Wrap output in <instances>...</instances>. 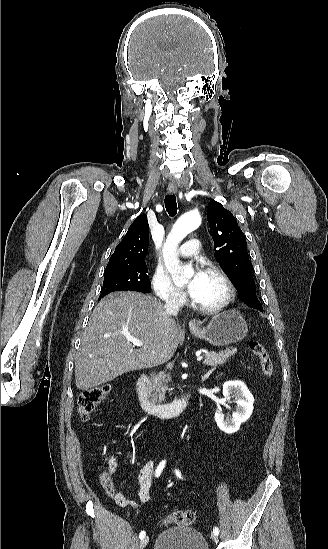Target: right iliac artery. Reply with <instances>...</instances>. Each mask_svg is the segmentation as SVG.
I'll return each mask as SVG.
<instances>
[{
	"label": "right iliac artery",
	"mask_w": 328,
	"mask_h": 549,
	"mask_svg": "<svg viewBox=\"0 0 328 549\" xmlns=\"http://www.w3.org/2000/svg\"><path fill=\"white\" fill-rule=\"evenodd\" d=\"M164 466H165V461H162L156 469V476L157 477L160 475V473L163 470ZM145 535H146L145 531H142L139 535V538L142 539V538L145 537Z\"/></svg>",
	"instance_id": "right-iliac-artery-1"
}]
</instances>
